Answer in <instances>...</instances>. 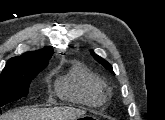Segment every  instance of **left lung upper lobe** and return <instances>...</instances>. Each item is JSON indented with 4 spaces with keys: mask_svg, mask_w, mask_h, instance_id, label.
Instances as JSON below:
<instances>
[{
    "mask_svg": "<svg viewBox=\"0 0 165 120\" xmlns=\"http://www.w3.org/2000/svg\"><path fill=\"white\" fill-rule=\"evenodd\" d=\"M92 55L93 57L95 58L96 61H98L100 64H102L106 69H108L111 73H114L113 72V69H112V66L107 62L105 61L103 58L97 56L96 54H94L92 52Z\"/></svg>",
    "mask_w": 165,
    "mask_h": 120,
    "instance_id": "5c2ea615",
    "label": "left lung upper lobe"
}]
</instances>
